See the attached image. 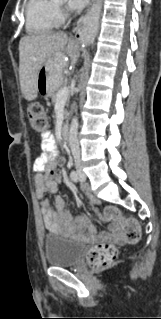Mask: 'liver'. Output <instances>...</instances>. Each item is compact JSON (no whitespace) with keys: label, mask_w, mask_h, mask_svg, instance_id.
<instances>
[{"label":"liver","mask_w":161,"mask_h":319,"mask_svg":"<svg viewBox=\"0 0 161 319\" xmlns=\"http://www.w3.org/2000/svg\"><path fill=\"white\" fill-rule=\"evenodd\" d=\"M75 53L73 41L63 32H42L22 37L19 42V78L23 97H37L38 72L44 63L57 55L63 68L67 66L64 52Z\"/></svg>","instance_id":"obj_1"}]
</instances>
